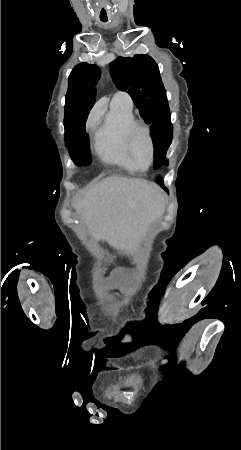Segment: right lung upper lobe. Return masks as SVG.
<instances>
[{"label": "right lung upper lobe", "mask_w": 241, "mask_h": 450, "mask_svg": "<svg viewBox=\"0 0 241 450\" xmlns=\"http://www.w3.org/2000/svg\"><path fill=\"white\" fill-rule=\"evenodd\" d=\"M80 73H86V74H92V75H98L100 76V69L99 67H97L96 65H91L88 63H81L77 66H75V68L72 70L69 78L74 77L77 74Z\"/></svg>", "instance_id": "1"}]
</instances>
